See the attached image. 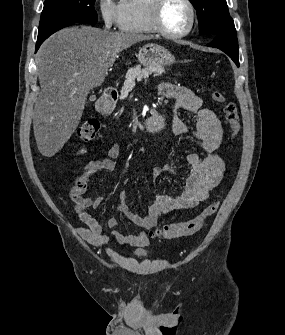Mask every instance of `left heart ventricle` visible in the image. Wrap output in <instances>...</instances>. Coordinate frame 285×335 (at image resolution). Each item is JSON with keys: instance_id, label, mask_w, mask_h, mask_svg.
Returning a JSON list of instances; mask_svg holds the SVG:
<instances>
[{"instance_id": "b2bd125f", "label": "left heart ventricle", "mask_w": 285, "mask_h": 335, "mask_svg": "<svg viewBox=\"0 0 285 335\" xmlns=\"http://www.w3.org/2000/svg\"><path fill=\"white\" fill-rule=\"evenodd\" d=\"M189 18V10L181 2L172 1L164 9V23L172 31L184 28L188 24Z\"/></svg>"}]
</instances>
